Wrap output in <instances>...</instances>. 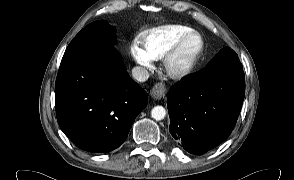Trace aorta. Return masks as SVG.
I'll return each instance as SVG.
<instances>
[{"mask_svg":"<svg viewBox=\"0 0 294 180\" xmlns=\"http://www.w3.org/2000/svg\"><path fill=\"white\" fill-rule=\"evenodd\" d=\"M151 116L155 119V120H163L166 116V110L164 107L162 106H155L152 110H151Z\"/></svg>","mask_w":294,"mask_h":180,"instance_id":"aorta-1","label":"aorta"}]
</instances>
